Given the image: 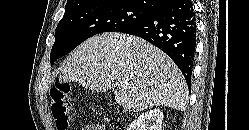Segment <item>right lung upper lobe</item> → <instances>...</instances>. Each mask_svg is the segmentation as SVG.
<instances>
[{
	"instance_id": "obj_1",
	"label": "right lung upper lobe",
	"mask_w": 249,
	"mask_h": 130,
	"mask_svg": "<svg viewBox=\"0 0 249 130\" xmlns=\"http://www.w3.org/2000/svg\"><path fill=\"white\" fill-rule=\"evenodd\" d=\"M101 1H106V0H68L65 6V11ZM131 1L137 3L140 6L147 7L155 11L158 8H160L162 5H164L168 0H131Z\"/></svg>"
}]
</instances>
